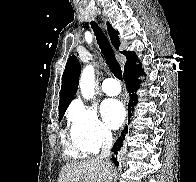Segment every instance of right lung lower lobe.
<instances>
[{"mask_svg": "<svg viewBox=\"0 0 196 182\" xmlns=\"http://www.w3.org/2000/svg\"><path fill=\"white\" fill-rule=\"evenodd\" d=\"M124 80L125 84L128 90V93L130 95V100L128 104V118L131 117V111L133 110V107L137 104L138 97L135 94L137 91L140 80L137 79L138 75H143V69L141 64L136 65L135 62L130 64L128 67L124 69ZM128 127L126 126L125 129L122 131L121 136L117 139L115 144L113 145L112 152V160L115 163L116 166L119 165L117 161V153L121 150L123 146V140L125 138V134H127Z\"/></svg>", "mask_w": 196, "mask_h": 182, "instance_id": "right-lung-lower-lobe-1", "label": "right lung lower lobe"}]
</instances>
